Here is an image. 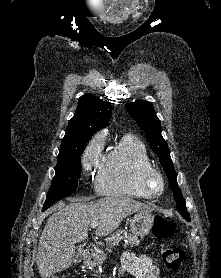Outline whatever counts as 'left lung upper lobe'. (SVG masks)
I'll return each instance as SVG.
<instances>
[{
	"mask_svg": "<svg viewBox=\"0 0 221 278\" xmlns=\"http://www.w3.org/2000/svg\"><path fill=\"white\" fill-rule=\"evenodd\" d=\"M126 110L137 121L141 129L146 132V138L153 151L160 157V162L169 178L177 208L186 220L190 219L182 193L177 184L176 172L174 170L170 151L166 141L161 134V123L157 118L152 104L149 102H137L125 105Z\"/></svg>",
	"mask_w": 221,
	"mask_h": 278,
	"instance_id": "1",
	"label": "left lung upper lobe"
}]
</instances>
